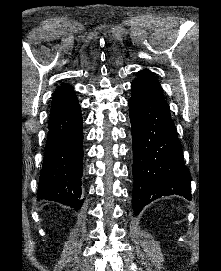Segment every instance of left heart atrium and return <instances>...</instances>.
<instances>
[{
	"label": "left heart atrium",
	"mask_w": 221,
	"mask_h": 271,
	"mask_svg": "<svg viewBox=\"0 0 221 271\" xmlns=\"http://www.w3.org/2000/svg\"><path fill=\"white\" fill-rule=\"evenodd\" d=\"M96 94H107L108 92H95Z\"/></svg>",
	"instance_id": "1"
}]
</instances>
